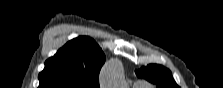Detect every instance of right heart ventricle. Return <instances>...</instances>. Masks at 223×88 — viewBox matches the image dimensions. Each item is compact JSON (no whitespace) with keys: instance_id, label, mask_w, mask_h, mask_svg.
Returning <instances> with one entry per match:
<instances>
[{"instance_id":"e07e8e85","label":"right heart ventricle","mask_w":223,"mask_h":88,"mask_svg":"<svg viewBox=\"0 0 223 88\" xmlns=\"http://www.w3.org/2000/svg\"><path fill=\"white\" fill-rule=\"evenodd\" d=\"M135 88H148V87H146V86L144 85V86H141V87H135Z\"/></svg>"}]
</instances>
